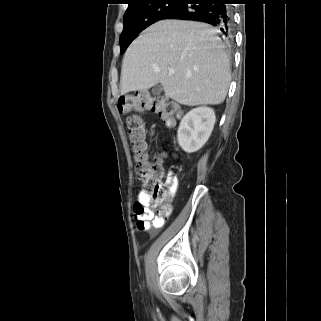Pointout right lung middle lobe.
<instances>
[{
  "label": "right lung middle lobe",
  "instance_id": "1",
  "mask_svg": "<svg viewBox=\"0 0 321 321\" xmlns=\"http://www.w3.org/2000/svg\"><path fill=\"white\" fill-rule=\"evenodd\" d=\"M181 0H152L145 4L131 8L124 14V29L120 36V53H124L129 44L145 28L161 20V17Z\"/></svg>",
  "mask_w": 321,
  "mask_h": 321
}]
</instances>
